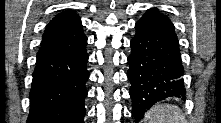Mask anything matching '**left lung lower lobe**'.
<instances>
[{
	"instance_id": "1",
	"label": "left lung lower lobe",
	"mask_w": 221,
	"mask_h": 123,
	"mask_svg": "<svg viewBox=\"0 0 221 123\" xmlns=\"http://www.w3.org/2000/svg\"><path fill=\"white\" fill-rule=\"evenodd\" d=\"M128 57L132 114L138 122L147 109L168 97H184L179 41L171 21L157 8L135 24Z\"/></svg>"
}]
</instances>
